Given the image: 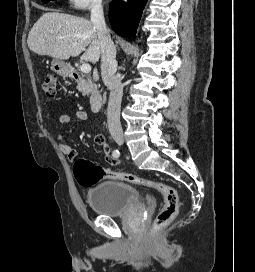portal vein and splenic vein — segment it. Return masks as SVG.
Segmentation results:
<instances>
[{"label":"portal vein and splenic vein","mask_w":255,"mask_h":272,"mask_svg":"<svg viewBox=\"0 0 255 272\" xmlns=\"http://www.w3.org/2000/svg\"><path fill=\"white\" fill-rule=\"evenodd\" d=\"M80 70L83 72V73H89L91 71V66L88 64V63H83L81 66H80Z\"/></svg>","instance_id":"portal-vein-and-splenic-vein-1"}]
</instances>
